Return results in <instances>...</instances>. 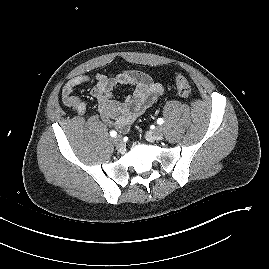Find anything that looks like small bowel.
Instances as JSON below:
<instances>
[{
	"label": "small bowel",
	"mask_w": 269,
	"mask_h": 269,
	"mask_svg": "<svg viewBox=\"0 0 269 269\" xmlns=\"http://www.w3.org/2000/svg\"><path fill=\"white\" fill-rule=\"evenodd\" d=\"M93 80L88 75L71 78L62 88V102L73 112L83 115L87 105L73 95L76 87ZM91 95L98 100V110L111 127L125 133L131 125L155 104L164 93V87L155 78L137 70H123L117 74H97ZM118 86L133 87L132 94L123 100L116 98L113 90Z\"/></svg>",
	"instance_id": "small-bowel-1"
}]
</instances>
